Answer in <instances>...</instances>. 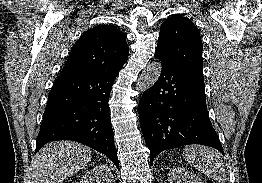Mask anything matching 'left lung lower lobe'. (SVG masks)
Wrapping results in <instances>:
<instances>
[{"label": "left lung lower lobe", "mask_w": 262, "mask_h": 183, "mask_svg": "<svg viewBox=\"0 0 262 183\" xmlns=\"http://www.w3.org/2000/svg\"><path fill=\"white\" fill-rule=\"evenodd\" d=\"M204 88V80L162 62L160 77L138 105L151 165L161 151L188 144L213 147L224 154L209 120Z\"/></svg>", "instance_id": "left-lung-lower-lobe-1"}]
</instances>
